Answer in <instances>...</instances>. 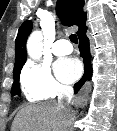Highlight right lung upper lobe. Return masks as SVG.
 I'll list each match as a JSON object with an SVG mask.
<instances>
[{
    "label": "right lung upper lobe",
    "instance_id": "cb5924a9",
    "mask_svg": "<svg viewBox=\"0 0 117 131\" xmlns=\"http://www.w3.org/2000/svg\"><path fill=\"white\" fill-rule=\"evenodd\" d=\"M84 0H58L57 15L66 26L77 25V35L86 32V13L83 11ZM32 30L31 21H25L19 28L15 40V65L13 75L20 73L26 62V41Z\"/></svg>",
    "mask_w": 117,
    "mask_h": 131
}]
</instances>
